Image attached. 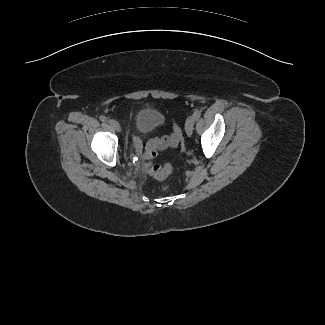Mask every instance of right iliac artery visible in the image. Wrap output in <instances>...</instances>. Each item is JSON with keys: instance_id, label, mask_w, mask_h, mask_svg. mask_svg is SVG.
<instances>
[{"instance_id": "obj_1", "label": "right iliac artery", "mask_w": 325, "mask_h": 325, "mask_svg": "<svg viewBox=\"0 0 325 325\" xmlns=\"http://www.w3.org/2000/svg\"><path fill=\"white\" fill-rule=\"evenodd\" d=\"M99 118H100V120L103 121V122L107 120V118H106L104 115H101Z\"/></svg>"}]
</instances>
